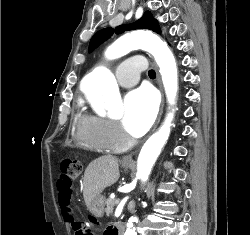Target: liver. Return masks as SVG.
Wrapping results in <instances>:
<instances>
[{
	"instance_id": "liver-1",
	"label": "liver",
	"mask_w": 250,
	"mask_h": 235,
	"mask_svg": "<svg viewBox=\"0 0 250 235\" xmlns=\"http://www.w3.org/2000/svg\"><path fill=\"white\" fill-rule=\"evenodd\" d=\"M119 160L106 155L93 160L86 168L83 178V197L90 209L92 200L119 179Z\"/></svg>"
}]
</instances>
